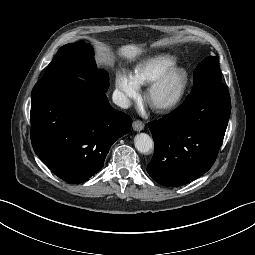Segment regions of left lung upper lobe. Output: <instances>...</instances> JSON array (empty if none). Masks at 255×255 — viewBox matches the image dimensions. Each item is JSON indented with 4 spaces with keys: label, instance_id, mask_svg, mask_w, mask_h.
<instances>
[{
    "label": "left lung upper lobe",
    "instance_id": "obj_1",
    "mask_svg": "<svg viewBox=\"0 0 255 255\" xmlns=\"http://www.w3.org/2000/svg\"><path fill=\"white\" fill-rule=\"evenodd\" d=\"M206 75H214L221 78L220 66L217 57L209 56L199 64L194 75V81L196 82L198 79Z\"/></svg>",
    "mask_w": 255,
    "mask_h": 255
}]
</instances>
